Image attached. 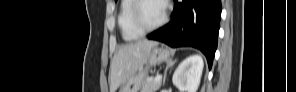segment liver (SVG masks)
Returning <instances> with one entry per match:
<instances>
[{"label":"liver","instance_id":"obj_1","mask_svg":"<svg viewBox=\"0 0 296 92\" xmlns=\"http://www.w3.org/2000/svg\"><path fill=\"white\" fill-rule=\"evenodd\" d=\"M157 44L155 41L140 40L119 48L110 65V92H115L133 74L143 68L152 48Z\"/></svg>","mask_w":296,"mask_h":92}]
</instances>
